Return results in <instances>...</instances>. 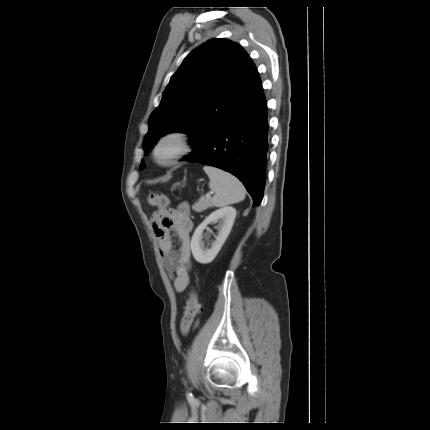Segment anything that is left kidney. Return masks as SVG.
Listing matches in <instances>:
<instances>
[{"mask_svg":"<svg viewBox=\"0 0 430 430\" xmlns=\"http://www.w3.org/2000/svg\"><path fill=\"white\" fill-rule=\"evenodd\" d=\"M235 217L236 209L231 206H226L213 211L196 228L191 239V250L197 262L208 264L215 259L231 232ZM217 222L218 236L215 237L216 240L210 244V247L205 248V242L202 240L203 231L208 224ZM207 245L209 246V243Z\"/></svg>","mask_w":430,"mask_h":430,"instance_id":"5707ae66","label":"left kidney"}]
</instances>
